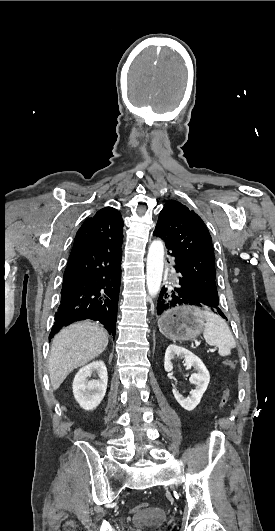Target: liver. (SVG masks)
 <instances>
[{"instance_id": "liver-1", "label": "liver", "mask_w": 275, "mask_h": 531, "mask_svg": "<svg viewBox=\"0 0 275 531\" xmlns=\"http://www.w3.org/2000/svg\"><path fill=\"white\" fill-rule=\"evenodd\" d=\"M108 335L97 323H74L54 337L50 351L49 375L53 391L59 389L67 375L84 367L105 351Z\"/></svg>"}]
</instances>
